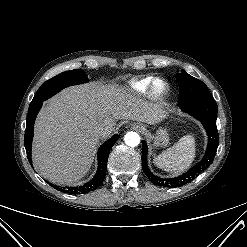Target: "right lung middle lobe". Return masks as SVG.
<instances>
[{"instance_id": "dd1d6c3e", "label": "right lung middle lobe", "mask_w": 247, "mask_h": 247, "mask_svg": "<svg viewBox=\"0 0 247 247\" xmlns=\"http://www.w3.org/2000/svg\"><path fill=\"white\" fill-rule=\"evenodd\" d=\"M86 82H88L87 75L82 70L74 69L60 73L41 85V87L36 92L30 106H35L37 104L43 103L45 100L49 99L60 90L68 86Z\"/></svg>"}]
</instances>
